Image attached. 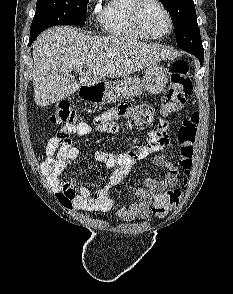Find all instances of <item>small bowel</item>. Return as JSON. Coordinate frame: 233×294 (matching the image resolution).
<instances>
[{
  "instance_id": "obj_1",
  "label": "small bowel",
  "mask_w": 233,
  "mask_h": 294,
  "mask_svg": "<svg viewBox=\"0 0 233 294\" xmlns=\"http://www.w3.org/2000/svg\"><path fill=\"white\" fill-rule=\"evenodd\" d=\"M154 112L155 109L151 108V103L135 104V108L134 104L123 103L119 104L118 109L109 110L95 117L93 126L85 121L66 125L56 136L49 139L42 167L53 180L60 184V176L64 169L82 154L81 150L73 145L71 134L87 136L93 130L105 134H115L119 129L118 122H128V118H132L138 125L150 126L151 122H156ZM169 145L167 122L161 120L157 129L150 133L147 144L140 146L136 151L95 152L93 154L94 160L112 169L109 182L105 187L95 191L81 186L76 192L74 190L72 195L67 193L66 184L62 183L59 193L61 203L69 209L85 212H108L115 209L116 216L123 220L147 218L151 213L150 208L156 195L167 189H173L178 183L180 170L164 155L158 154L154 157V164L167 170L164 179L157 181L149 177L145 180L144 187L134 188L133 192L137 197L134 203L130 205L117 204L116 200L110 196V190L122 183L138 161L146 158L149 154L162 151Z\"/></svg>"
}]
</instances>
